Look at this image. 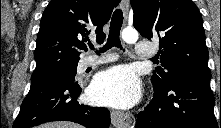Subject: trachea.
Returning a JSON list of instances; mask_svg holds the SVG:
<instances>
[{"mask_svg":"<svg viewBox=\"0 0 221 128\" xmlns=\"http://www.w3.org/2000/svg\"><path fill=\"white\" fill-rule=\"evenodd\" d=\"M123 24V14L120 9H116L112 15L111 18V24H110V30H109V35L107 39V43L96 53L100 55V52H105L108 49H111L112 47H121V42H120V30ZM101 44V42H98ZM89 48L94 50V45L89 44Z\"/></svg>","mask_w":221,"mask_h":128,"instance_id":"3493384b","label":"trachea"}]
</instances>
